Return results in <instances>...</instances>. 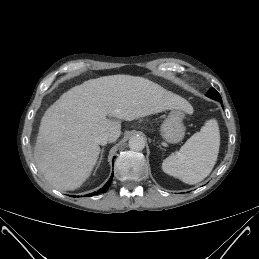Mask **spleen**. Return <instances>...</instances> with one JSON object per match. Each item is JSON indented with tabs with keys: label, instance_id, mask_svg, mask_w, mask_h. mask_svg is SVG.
Wrapping results in <instances>:
<instances>
[{
	"label": "spleen",
	"instance_id": "spleen-1",
	"mask_svg": "<svg viewBox=\"0 0 259 259\" xmlns=\"http://www.w3.org/2000/svg\"><path fill=\"white\" fill-rule=\"evenodd\" d=\"M220 132L215 119L208 120L200 132L192 135L180 148L162 163L163 171L186 184H196L212 171L218 157Z\"/></svg>",
	"mask_w": 259,
	"mask_h": 259
}]
</instances>
